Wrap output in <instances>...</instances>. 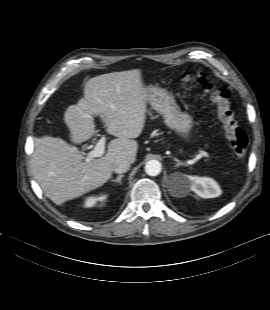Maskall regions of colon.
<instances>
[{
	"label": "colon",
	"instance_id": "colon-1",
	"mask_svg": "<svg viewBox=\"0 0 270 310\" xmlns=\"http://www.w3.org/2000/svg\"><path fill=\"white\" fill-rule=\"evenodd\" d=\"M181 81L184 84H195L200 86L210 96L211 101L216 105L217 116L222 124L225 136L235 154L243 158L247 153V134L238 127L229 104V91L208 81L201 74H183Z\"/></svg>",
	"mask_w": 270,
	"mask_h": 310
}]
</instances>
